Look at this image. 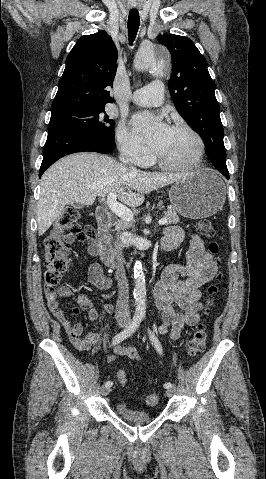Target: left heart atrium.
<instances>
[{"instance_id": "obj_1", "label": "left heart atrium", "mask_w": 266, "mask_h": 479, "mask_svg": "<svg viewBox=\"0 0 266 479\" xmlns=\"http://www.w3.org/2000/svg\"><path fill=\"white\" fill-rule=\"evenodd\" d=\"M132 126L137 137L157 154L163 149L171 130L166 123L158 121L149 113L135 115Z\"/></svg>"}]
</instances>
